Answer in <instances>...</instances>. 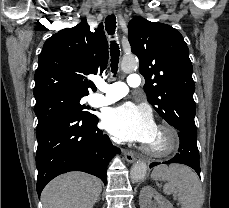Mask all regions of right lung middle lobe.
<instances>
[{
    "instance_id": "1",
    "label": "right lung middle lobe",
    "mask_w": 229,
    "mask_h": 208,
    "mask_svg": "<svg viewBox=\"0 0 229 208\" xmlns=\"http://www.w3.org/2000/svg\"><path fill=\"white\" fill-rule=\"evenodd\" d=\"M82 96L55 95L36 101L35 114L38 118L37 131L55 119L68 114L83 117L93 116L80 104Z\"/></svg>"
}]
</instances>
